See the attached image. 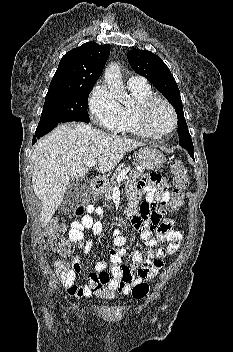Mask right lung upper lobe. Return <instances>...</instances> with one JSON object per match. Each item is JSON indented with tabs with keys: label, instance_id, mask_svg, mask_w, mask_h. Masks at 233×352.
<instances>
[{
	"label": "right lung upper lobe",
	"instance_id": "cb5924a9",
	"mask_svg": "<svg viewBox=\"0 0 233 352\" xmlns=\"http://www.w3.org/2000/svg\"><path fill=\"white\" fill-rule=\"evenodd\" d=\"M110 54V45L87 42L60 60L49 89H74L95 85Z\"/></svg>",
	"mask_w": 233,
	"mask_h": 352
}]
</instances>
